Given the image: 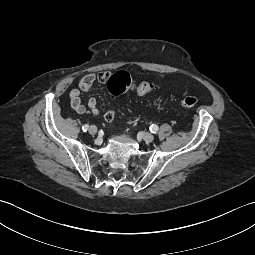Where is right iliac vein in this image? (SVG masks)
Masks as SVG:
<instances>
[{
    "label": "right iliac vein",
    "instance_id": "obj_1",
    "mask_svg": "<svg viewBox=\"0 0 255 255\" xmlns=\"http://www.w3.org/2000/svg\"><path fill=\"white\" fill-rule=\"evenodd\" d=\"M89 133H90L91 135H95V134L97 133V127L94 126V125L90 126V128H89Z\"/></svg>",
    "mask_w": 255,
    "mask_h": 255
}]
</instances>
